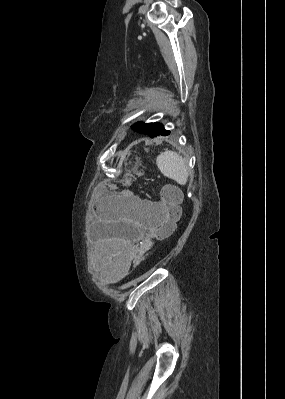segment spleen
Wrapping results in <instances>:
<instances>
[{"label": "spleen", "mask_w": 285, "mask_h": 399, "mask_svg": "<svg viewBox=\"0 0 285 399\" xmlns=\"http://www.w3.org/2000/svg\"><path fill=\"white\" fill-rule=\"evenodd\" d=\"M156 164L163 175L173 179L180 185L188 181L187 162L174 151H165L157 156Z\"/></svg>", "instance_id": "3e777b00"}]
</instances>
